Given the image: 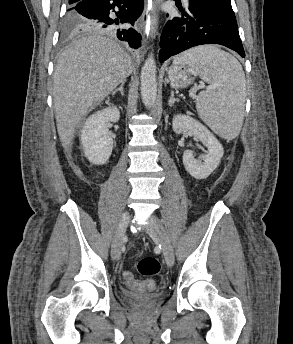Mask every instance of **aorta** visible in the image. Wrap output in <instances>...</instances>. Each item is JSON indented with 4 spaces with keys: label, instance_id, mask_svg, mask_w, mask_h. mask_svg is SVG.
Masks as SVG:
<instances>
[{
    "label": "aorta",
    "instance_id": "762f6f07",
    "mask_svg": "<svg viewBox=\"0 0 293 344\" xmlns=\"http://www.w3.org/2000/svg\"><path fill=\"white\" fill-rule=\"evenodd\" d=\"M158 2H162V0H158ZM156 73V62L151 53L145 60L141 69L140 87L143 103L148 109L154 106L157 97Z\"/></svg>",
    "mask_w": 293,
    "mask_h": 344
}]
</instances>
